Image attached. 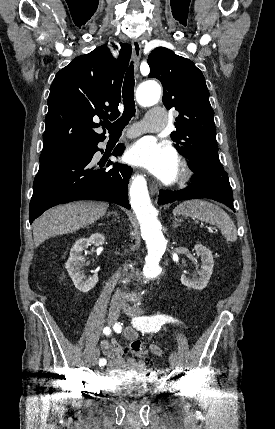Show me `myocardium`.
<instances>
[{"instance_id": "myocardium-1", "label": "myocardium", "mask_w": 275, "mask_h": 429, "mask_svg": "<svg viewBox=\"0 0 275 429\" xmlns=\"http://www.w3.org/2000/svg\"><path fill=\"white\" fill-rule=\"evenodd\" d=\"M193 173L186 162L182 161L176 176V181L180 186H186L192 179Z\"/></svg>"}]
</instances>
